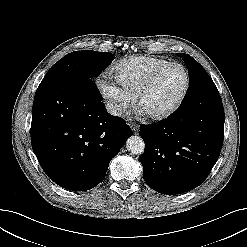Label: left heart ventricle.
<instances>
[{"instance_id":"obj_1","label":"left heart ventricle","mask_w":247,"mask_h":247,"mask_svg":"<svg viewBox=\"0 0 247 247\" xmlns=\"http://www.w3.org/2000/svg\"><path fill=\"white\" fill-rule=\"evenodd\" d=\"M185 76L181 68L172 67L162 73L142 99L146 112H160L169 108L181 94Z\"/></svg>"}]
</instances>
